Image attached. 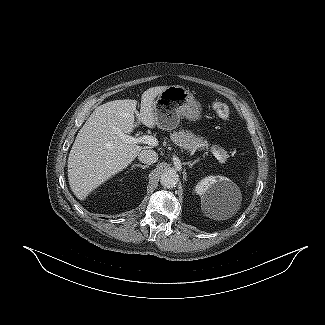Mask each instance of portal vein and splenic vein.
Segmentation results:
<instances>
[{
  "instance_id": "obj_1",
  "label": "portal vein and splenic vein",
  "mask_w": 325,
  "mask_h": 325,
  "mask_svg": "<svg viewBox=\"0 0 325 325\" xmlns=\"http://www.w3.org/2000/svg\"><path fill=\"white\" fill-rule=\"evenodd\" d=\"M121 138L123 141L129 144H147L149 146L155 147L158 145V140L151 135H142L139 137L128 136L125 134H121ZM219 161H221L222 157L220 153L215 149L209 150Z\"/></svg>"
}]
</instances>
